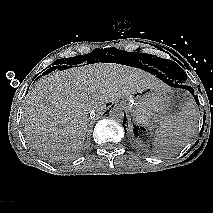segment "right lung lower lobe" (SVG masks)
Wrapping results in <instances>:
<instances>
[{
  "mask_svg": "<svg viewBox=\"0 0 213 213\" xmlns=\"http://www.w3.org/2000/svg\"><path fill=\"white\" fill-rule=\"evenodd\" d=\"M65 66H61V65H55L53 67H51L50 69H48L45 73H50L53 70H56L57 68L59 69H63Z\"/></svg>",
  "mask_w": 213,
  "mask_h": 213,
  "instance_id": "obj_1",
  "label": "right lung lower lobe"
}]
</instances>
